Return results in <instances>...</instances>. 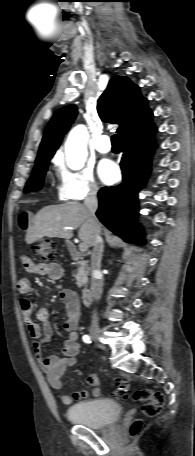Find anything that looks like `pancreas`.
<instances>
[{
  "label": "pancreas",
  "mask_w": 195,
  "mask_h": 456,
  "mask_svg": "<svg viewBox=\"0 0 195 456\" xmlns=\"http://www.w3.org/2000/svg\"><path fill=\"white\" fill-rule=\"evenodd\" d=\"M73 258L79 260L74 276L78 287H82L88 281L87 261L83 260V255H74Z\"/></svg>",
  "instance_id": "pancreas-1"
}]
</instances>
